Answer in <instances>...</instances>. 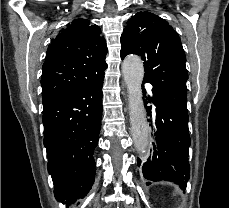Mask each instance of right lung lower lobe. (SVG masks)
Returning <instances> with one entry per match:
<instances>
[{"label":"right lung lower lobe","instance_id":"obj_1","mask_svg":"<svg viewBox=\"0 0 229 208\" xmlns=\"http://www.w3.org/2000/svg\"><path fill=\"white\" fill-rule=\"evenodd\" d=\"M104 72L43 108L44 146L55 198L66 204L84 198L95 174L93 152L102 116Z\"/></svg>","mask_w":229,"mask_h":208}]
</instances>
